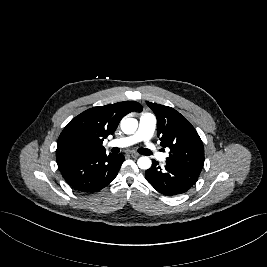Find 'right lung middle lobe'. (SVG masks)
Returning a JSON list of instances; mask_svg holds the SVG:
<instances>
[{
	"label": "right lung middle lobe",
	"instance_id": "1",
	"mask_svg": "<svg viewBox=\"0 0 267 267\" xmlns=\"http://www.w3.org/2000/svg\"><path fill=\"white\" fill-rule=\"evenodd\" d=\"M76 151H77V149L75 146H70V147L66 148V153H68V154L76 153Z\"/></svg>",
	"mask_w": 267,
	"mask_h": 267
}]
</instances>
